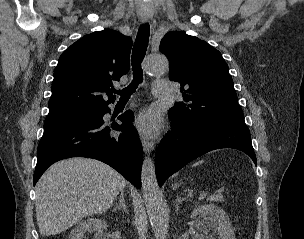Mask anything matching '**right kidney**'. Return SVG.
<instances>
[{
  "label": "right kidney",
  "instance_id": "right-kidney-1",
  "mask_svg": "<svg viewBox=\"0 0 304 239\" xmlns=\"http://www.w3.org/2000/svg\"><path fill=\"white\" fill-rule=\"evenodd\" d=\"M108 227V224L105 220L99 218H88L80 222L77 227L72 230L69 239H82L85 232L93 229L96 239H103V231Z\"/></svg>",
  "mask_w": 304,
  "mask_h": 239
}]
</instances>
